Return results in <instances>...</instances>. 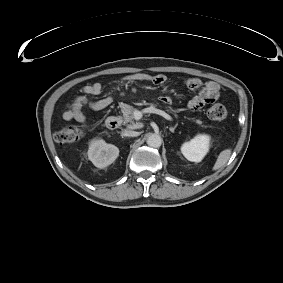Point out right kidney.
<instances>
[{
    "label": "right kidney",
    "mask_w": 283,
    "mask_h": 283,
    "mask_svg": "<svg viewBox=\"0 0 283 283\" xmlns=\"http://www.w3.org/2000/svg\"><path fill=\"white\" fill-rule=\"evenodd\" d=\"M89 160L98 168H105L112 164L119 155V149L107 144L103 139H93L88 149Z\"/></svg>",
    "instance_id": "ca27d5eb"
}]
</instances>
